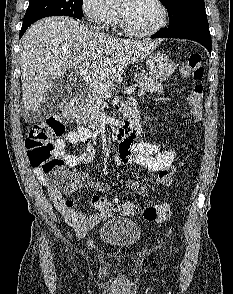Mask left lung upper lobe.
<instances>
[{"label": "left lung upper lobe", "instance_id": "5c2ea615", "mask_svg": "<svg viewBox=\"0 0 233 294\" xmlns=\"http://www.w3.org/2000/svg\"><path fill=\"white\" fill-rule=\"evenodd\" d=\"M167 8L169 25L186 18H207L204 0H160Z\"/></svg>", "mask_w": 233, "mask_h": 294}]
</instances>
